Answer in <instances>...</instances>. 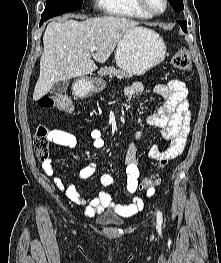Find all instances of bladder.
I'll use <instances>...</instances> for the list:
<instances>
[{
  "instance_id": "31cf9c89",
  "label": "bladder",
  "mask_w": 221,
  "mask_h": 263,
  "mask_svg": "<svg viewBox=\"0 0 221 263\" xmlns=\"http://www.w3.org/2000/svg\"><path fill=\"white\" fill-rule=\"evenodd\" d=\"M98 221L105 225H117L123 221L114 215H104L98 218Z\"/></svg>"
}]
</instances>
